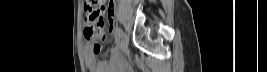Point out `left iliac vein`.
<instances>
[{
    "label": "left iliac vein",
    "instance_id": "left-iliac-vein-1",
    "mask_svg": "<svg viewBox=\"0 0 267 72\" xmlns=\"http://www.w3.org/2000/svg\"><path fill=\"white\" fill-rule=\"evenodd\" d=\"M129 45V37L127 34H123L122 41H121V49L124 53L127 52Z\"/></svg>",
    "mask_w": 267,
    "mask_h": 72
}]
</instances>
